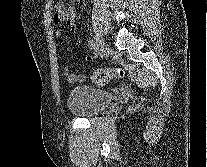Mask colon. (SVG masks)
Masks as SVG:
<instances>
[{
	"label": "colon",
	"instance_id": "1",
	"mask_svg": "<svg viewBox=\"0 0 207 167\" xmlns=\"http://www.w3.org/2000/svg\"><path fill=\"white\" fill-rule=\"evenodd\" d=\"M121 68H100L92 73V81L98 85H106L115 77H123Z\"/></svg>",
	"mask_w": 207,
	"mask_h": 167
}]
</instances>
